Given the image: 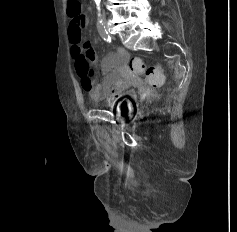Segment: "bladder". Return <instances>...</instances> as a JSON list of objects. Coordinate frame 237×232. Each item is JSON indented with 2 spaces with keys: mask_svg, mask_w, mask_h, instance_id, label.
<instances>
[{
  "mask_svg": "<svg viewBox=\"0 0 237 232\" xmlns=\"http://www.w3.org/2000/svg\"><path fill=\"white\" fill-rule=\"evenodd\" d=\"M110 107H112L114 111L121 116L127 115L134 110V99L133 97H127L117 101Z\"/></svg>",
  "mask_w": 237,
  "mask_h": 232,
  "instance_id": "1",
  "label": "bladder"
}]
</instances>
